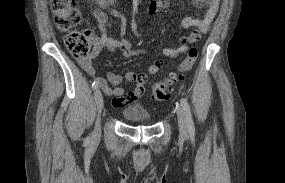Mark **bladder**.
I'll return each instance as SVG.
<instances>
[{
	"instance_id": "obj_1",
	"label": "bladder",
	"mask_w": 285,
	"mask_h": 183,
	"mask_svg": "<svg viewBox=\"0 0 285 183\" xmlns=\"http://www.w3.org/2000/svg\"><path fill=\"white\" fill-rule=\"evenodd\" d=\"M122 115L130 122H149L151 119L149 111L139 104L128 106L124 109Z\"/></svg>"
}]
</instances>
